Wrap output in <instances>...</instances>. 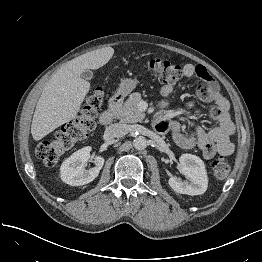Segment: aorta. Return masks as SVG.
Instances as JSON below:
<instances>
[{"label": "aorta", "mask_w": 262, "mask_h": 262, "mask_svg": "<svg viewBox=\"0 0 262 262\" xmlns=\"http://www.w3.org/2000/svg\"><path fill=\"white\" fill-rule=\"evenodd\" d=\"M148 145L147 139L143 136H137L133 140V146L137 150H144Z\"/></svg>", "instance_id": "aorta-1"}]
</instances>
